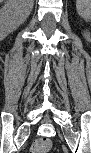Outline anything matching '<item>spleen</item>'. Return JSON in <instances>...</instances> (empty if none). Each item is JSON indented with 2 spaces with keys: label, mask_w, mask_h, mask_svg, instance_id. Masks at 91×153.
Instances as JSON below:
<instances>
[{
  "label": "spleen",
  "mask_w": 91,
  "mask_h": 153,
  "mask_svg": "<svg viewBox=\"0 0 91 153\" xmlns=\"http://www.w3.org/2000/svg\"><path fill=\"white\" fill-rule=\"evenodd\" d=\"M76 9L78 14L89 21L91 18V1L90 0H77Z\"/></svg>",
  "instance_id": "3e777b00"
}]
</instances>
